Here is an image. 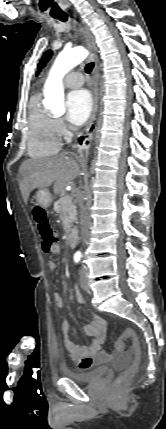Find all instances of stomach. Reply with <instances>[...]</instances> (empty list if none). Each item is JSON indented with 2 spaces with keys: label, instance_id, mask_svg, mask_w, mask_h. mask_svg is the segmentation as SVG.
<instances>
[{
  "label": "stomach",
  "instance_id": "0dacf381",
  "mask_svg": "<svg viewBox=\"0 0 166 429\" xmlns=\"http://www.w3.org/2000/svg\"><path fill=\"white\" fill-rule=\"evenodd\" d=\"M35 200L39 206L48 208L52 203V196L47 189H39L35 195Z\"/></svg>",
  "mask_w": 166,
  "mask_h": 429
}]
</instances>
